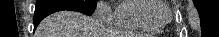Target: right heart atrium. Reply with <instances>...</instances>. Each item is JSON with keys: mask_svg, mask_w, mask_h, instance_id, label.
<instances>
[{"mask_svg": "<svg viewBox=\"0 0 219 37\" xmlns=\"http://www.w3.org/2000/svg\"><path fill=\"white\" fill-rule=\"evenodd\" d=\"M95 15L98 19L108 22L111 18V10L106 1H98L95 7Z\"/></svg>", "mask_w": 219, "mask_h": 37, "instance_id": "obj_1", "label": "right heart atrium"}]
</instances>
